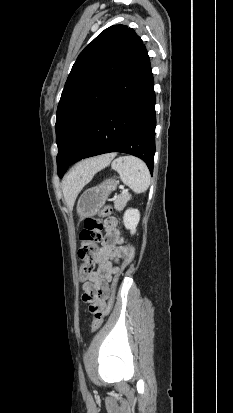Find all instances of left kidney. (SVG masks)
Here are the masks:
<instances>
[{
	"mask_svg": "<svg viewBox=\"0 0 233 413\" xmlns=\"http://www.w3.org/2000/svg\"><path fill=\"white\" fill-rule=\"evenodd\" d=\"M140 221V212L137 209L129 208L123 216V223L126 229L130 230L131 234L136 233V227Z\"/></svg>",
	"mask_w": 233,
	"mask_h": 413,
	"instance_id": "left-kidney-1",
	"label": "left kidney"
}]
</instances>
